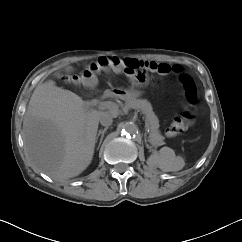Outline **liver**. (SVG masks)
<instances>
[{
  "label": "liver",
  "mask_w": 242,
  "mask_h": 242,
  "mask_svg": "<svg viewBox=\"0 0 242 242\" xmlns=\"http://www.w3.org/2000/svg\"><path fill=\"white\" fill-rule=\"evenodd\" d=\"M101 114L52 80L39 84L23 120L25 150L33 167L59 181L80 175L93 159Z\"/></svg>",
  "instance_id": "6515ba94"
}]
</instances>
